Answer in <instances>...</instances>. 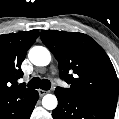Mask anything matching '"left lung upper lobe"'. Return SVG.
Segmentation results:
<instances>
[{
	"label": "left lung upper lobe",
	"instance_id": "1",
	"mask_svg": "<svg viewBox=\"0 0 119 119\" xmlns=\"http://www.w3.org/2000/svg\"><path fill=\"white\" fill-rule=\"evenodd\" d=\"M40 37L58 61L59 75L70 88L55 91L86 102L116 107L118 79L100 45L83 33L43 30Z\"/></svg>",
	"mask_w": 119,
	"mask_h": 119
}]
</instances>
